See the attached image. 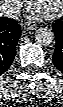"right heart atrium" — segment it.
I'll list each match as a JSON object with an SVG mask.
<instances>
[{
    "label": "right heart atrium",
    "instance_id": "1",
    "mask_svg": "<svg viewBox=\"0 0 63 107\" xmlns=\"http://www.w3.org/2000/svg\"><path fill=\"white\" fill-rule=\"evenodd\" d=\"M12 1H13V3H15V2H16V1L14 2V0H12ZM16 3H18V2H16Z\"/></svg>",
    "mask_w": 63,
    "mask_h": 107
}]
</instances>
